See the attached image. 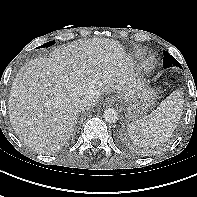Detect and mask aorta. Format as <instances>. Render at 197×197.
<instances>
[{
    "label": "aorta",
    "instance_id": "aorta-1",
    "mask_svg": "<svg viewBox=\"0 0 197 197\" xmlns=\"http://www.w3.org/2000/svg\"><path fill=\"white\" fill-rule=\"evenodd\" d=\"M106 122L115 123L118 120V112L114 108H107L103 113Z\"/></svg>",
    "mask_w": 197,
    "mask_h": 197
}]
</instances>
